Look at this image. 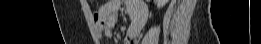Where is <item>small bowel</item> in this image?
<instances>
[{"instance_id": "obj_1", "label": "small bowel", "mask_w": 261, "mask_h": 44, "mask_svg": "<svg viewBox=\"0 0 261 44\" xmlns=\"http://www.w3.org/2000/svg\"><path fill=\"white\" fill-rule=\"evenodd\" d=\"M126 5L127 13L131 18V23L127 28L124 44H133L147 18L146 6L138 1L111 0L99 9V14L94 15L95 26L99 34L104 32L106 36L111 35L112 24L118 20V14L123 5Z\"/></svg>"}]
</instances>
